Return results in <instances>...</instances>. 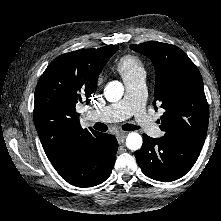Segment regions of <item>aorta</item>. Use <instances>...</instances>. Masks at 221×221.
Listing matches in <instances>:
<instances>
[{"label":"aorta","mask_w":221,"mask_h":221,"mask_svg":"<svg viewBox=\"0 0 221 221\" xmlns=\"http://www.w3.org/2000/svg\"><path fill=\"white\" fill-rule=\"evenodd\" d=\"M124 93L123 84L119 81H111L104 88V96L109 102L119 101ZM142 136L137 132H131L127 135L126 146L132 151L139 150L142 146Z\"/></svg>","instance_id":"obj_1"}]
</instances>
